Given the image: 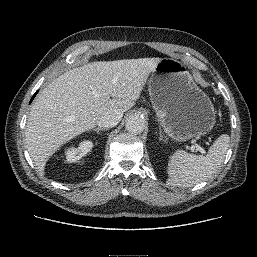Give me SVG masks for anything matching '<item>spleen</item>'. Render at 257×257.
<instances>
[{
	"instance_id": "spleen-1",
	"label": "spleen",
	"mask_w": 257,
	"mask_h": 257,
	"mask_svg": "<svg viewBox=\"0 0 257 257\" xmlns=\"http://www.w3.org/2000/svg\"><path fill=\"white\" fill-rule=\"evenodd\" d=\"M229 143V135L222 134L206 155L175 151L168 162L166 183L171 186L192 187L209 179L223 163Z\"/></svg>"
}]
</instances>
